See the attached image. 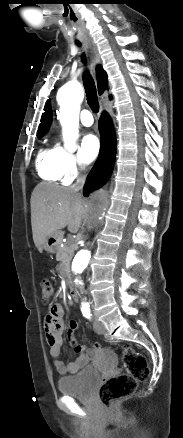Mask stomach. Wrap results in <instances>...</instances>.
<instances>
[{
  "label": "stomach",
  "instance_id": "stomach-1",
  "mask_svg": "<svg viewBox=\"0 0 183 438\" xmlns=\"http://www.w3.org/2000/svg\"><path fill=\"white\" fill-rule=\"evenodd\" d=\"M61 240H62V234L60 232H56L47 237L42 248L49 253H55L59 248Z\"/></svg>",
  "mask_w": 183,
  "mask_h": 438
}]
</instances>
